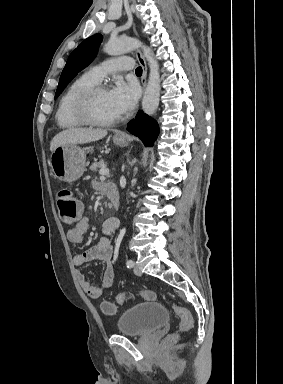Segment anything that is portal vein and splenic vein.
Instances as JSON below:
<instances>
[{
  "label": "portal vein and splenic vein",
  "instance_id": "obj_1",
  "mask_svg": "<svg viewBox=\"0 0 283 384\" xmlns=\"http://www.w3.org/2000/svg\"><path fill=\"white\" fill-rule=\"evenodd\" d=\"M100 178H104V176H108L109 170L108 168H102V170H99Z\"/></svg>",
  "mask_w": 283,
  "mask_h": 384
}]
</instances>
